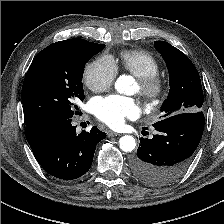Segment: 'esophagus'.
<instances>
[{"label": "esophagus", "mask_w": 224, "mask_h": 224, "mask_svg": "<svg viewBox=\"0 0 224 224\" xmlns=\"http://www.w3.org/2000/svg\"><path fill=\"white\" fill-rule=\"evenodd\" d=\"M114 136H120V134L116 133V132H113V131L108 132V137H114Z\"/></svg>", "instance_id": "34e87169"}]
</instances>
